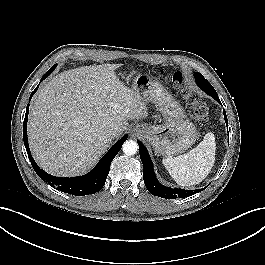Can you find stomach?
I'll list each match as a JSON object with an SVG mask.
<instances>
[{
    "label": "stomach",
    "instance_id": "obj_1",
    "mask_svg": "<svg viewBox=\"0 0 265 265\" xmlns=\"http://www.w3.org/2000/svg\"><path fill=\"white\" fill-rule=\"evenodd\" d=\"M133 90L144 102L154 103L165 119L161 125L140 126L143 137L151 143L157 155L171 157L183 153L194 144L197 139L195 125L157 78L138 74L134 79Z\"/></svg>",
    "mask_w": 265,
    "mask_h": 265
}]
</instances>
